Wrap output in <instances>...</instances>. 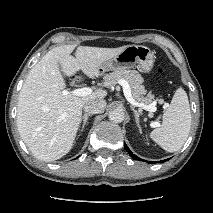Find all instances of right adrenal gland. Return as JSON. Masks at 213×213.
Returning a JSON list of instances; mask_svg holds the SVG:
<instances>
[{"mask_svg":"<svg viewBox=\"0 0 213 213\" xmlns=\"http://www.w3.org/2000/svg\"><path fill=\"white\" fill-rule=\"evenodd\" d=\"M89 116H92V114H89V113H88V114H84V115L82 116L81 121H80V123H82V126H81L80 131H83V129H84L86 123H87V120H88V117H89Z\"/></svg>","mask_w":213,"mask_h":213,"instance_id":"2a0ac1e0","label":"right adrenal gland"}]
</instances>
